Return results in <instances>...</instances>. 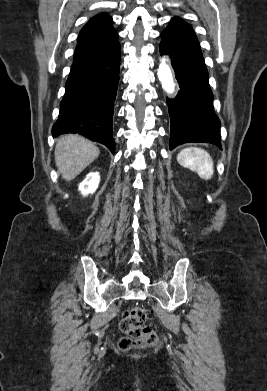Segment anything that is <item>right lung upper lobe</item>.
<instances>
[{
	"label": "right lung upper lobe",
	"mask_w": 267,
	"mask_h": 391,
	"mask_svg": "<svg viewBox=\"0 0 267 391\" xmlns=\"http://www.w3.org/2000/svg\"><path fill=\"white\" fill-rule=\"evenodd\" d=\"M118 43V34L112 26V18L98 14L82 28L73 60H78L105 50Z\"/></svg>",
	"instance_id": "right-lung-upper-lobe-1"
}]
</instances>
